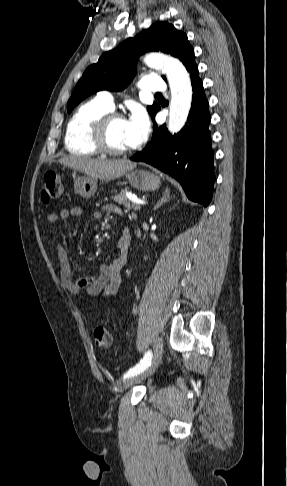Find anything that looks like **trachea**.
Segmentation results:
<instances>
[{"mask_svg": "<svg viewBox=\"0 0 287 486\" xmlns=\"http://www.w3.org/2000/svg\"><path fill=\"white\" fill-rule=\"evenodd\" d=\"M155 96H162V94L161 93H156Z\"/></svg>", "mask_w": 287, "mask_h": 486, "instance_id": "trachea-1", "label": "trachea"}]
</instances>
